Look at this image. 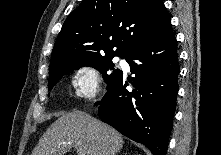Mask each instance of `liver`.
I'll use <instances>...</instances> for the list:
<instances>
[{
    "instance_id": "6515ba94",
    "label": "liver",
    "mask_w": 221,
    "mask_h": 155,
    "mask_svg": "<svg viewBox=\"0 0 221 155\" xmlns=\"http://www.w3.org/2000/svg\"><path fill=\"white\" fill-rule=\"evenodd\" d=\"M124 141L121 134L82 111L62 114L39 139L31 155H64L76 148L85 155H116Z\"/></svg>"
}]
</instances>
